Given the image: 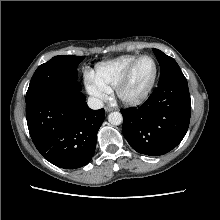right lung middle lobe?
Instances as JSON below:
<instances>
[{"label":"right lung middle lobe","instance_id":"dd1d6c3e","mask_svg":"<svg viewBox=\"0 0 220 220\" xmlns=\"http://www.w3.org/2000/svg\"><path fill=\"white\" fill-rule=\"evenodd\" d=\"M84 56L60 55L40 65L32 76L26 93V103L49 94H64L78 90L77 66Z\"/></svg>","mask_w":220,"mask_h":220}]
</instances>
